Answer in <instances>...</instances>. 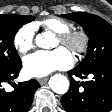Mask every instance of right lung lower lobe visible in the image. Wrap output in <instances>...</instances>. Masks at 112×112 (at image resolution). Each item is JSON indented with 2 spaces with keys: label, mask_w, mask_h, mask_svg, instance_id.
<instances>
[{
  "label": "right lung lower lobe",
  "mask_w": 112,
  "mask_h": 112,
  "mask_svg": "<svg viewBox=\"0 0 112 112\" xmlns=\"http://www.w3.org/2000/svg\"><path fill=\"white\" fill-rule=\"evenodd\" d=\"M22 67L21 61L0 74V112H27L33 101L34 93L40 84L32 79L18 84L10 82L19 75ZM11 83L14 90L6 92L3 84Z\"/></svg>",
  "instance_id": "1"
}]
</instances>
